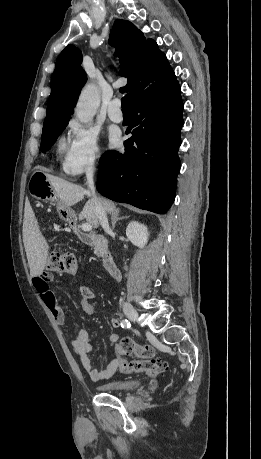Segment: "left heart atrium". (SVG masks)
<instances>
[{
    "label": "left heart atrium",
    "instance_id": "39dd6f15",
    "mask_svg": "<svg viewBox=\"0 0 261 459\" xmlns=\"http://www.w3.org/2000/svg\"><path fill=\"white\" fill-rule=\"evenodd\" d=\"M119 133L117 131H111L109 134L110 145L114 146L119 142Z\"/></svg>",
    "mask_w": 261,
    "mask_h": 459
}]
</instances>
